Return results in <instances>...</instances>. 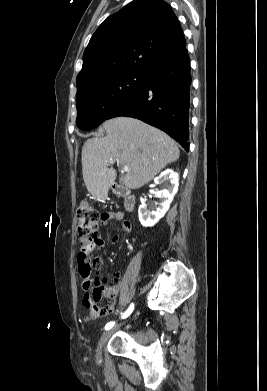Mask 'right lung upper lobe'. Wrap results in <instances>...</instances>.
Here are the masks:
<instances>
[{"label":"right lung upper lobe","mask_w":267,"mask_h":391,"mask_svg":"<svg viewBox=\"0 0 267 391\" xmlns=\"http://www.w3.org/2000/svg\"><path fill=\"white\" fill-rule=\"evenodd\" d=\"M186 48L179 21L163 0H134L108 17L83 55L77 91L111 73L145 72L154 63Z\"/></svg>","instance_id":"obj_1"}]
</instances>
